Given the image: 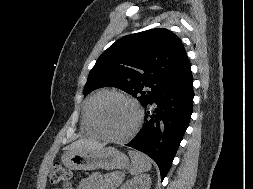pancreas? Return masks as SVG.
<instances>
[{
    "instance_id": "obj_1",
    "label": "pancreas",
    "mask_w": 253,
    "mask_h": 189,
    "mask_svg": "<svg viewBox=\"0 0 253 189\" xmlns=\"http://www.w3.org/2000/svg\"><path fill=\"white\" fill-rule=\"evenodd\" d=\"M105 178L108 184L117 187L123 180V173L121 172L107 173L105 175Z\"/></svg>"
}]
</instances>
